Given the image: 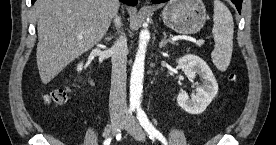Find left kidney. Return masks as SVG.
Masks as SVG:
<instances>
[{
    "label": "left kidney",
    "instance_id": "obj_1",
    "mask_svg": "<svg viewBox=\"0 0 276 145\" xmlns=\"http://www.w3.org/2000/svg\"><path fill=\"white\" fill-rule=\"evenodd\" d=\"M176 62L191 81L197 74L203 79L201 85L197 84L196 95L192 98L186 92L180 91L177 96L178 105L190 114L204 112L218 92V84L211 69L203 59L192 54L185 55Z\"/></svg>",
    "mask_w": 276,
    "mask_h": 145
}]
</instances>
